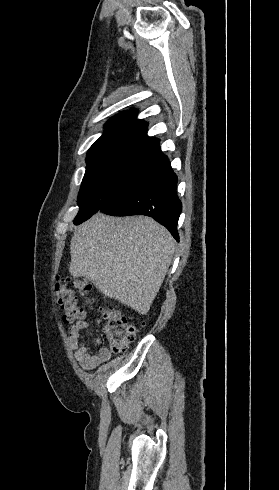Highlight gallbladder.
I'll return each mask as SVG.
<instances>
[{
  "mask_svg": "<svg viewBox=\"0 0 279 490\" xmlns=\"http://www.w3.org/2000/svg\"><path fill=\"white\" fill-rule=\"evenodd\" d=\"M83 282L86 284V282H89V278H83Z\"/></svg>",
  "mask_w": 279,
  "mask_h": 490,
  "instance_id": "obj_1",
  "label": "gallbladder"
}]
</instances>
